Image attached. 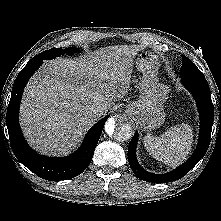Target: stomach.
Here are the masks:
<instances>
[{"label": "stomach", "instance_id": "0dacf381", "mask_svg": "<svg viewBox=\"0 0 221 221\" xmlns=\"http://www.w3.org/2000/svg\"><path fill=\"white\" fill-rule=\"evenodd\" d=\"M135 66L142 73L140 96L137 101L126 106V112L144 131H151L160 127L165 120L163 106L168 98L169 88L159 83L157 73L160 64L154 53L141 51L137 55Z\"/></svg>", "mask_w": 221, "mask_h": 221}]
</instances>
